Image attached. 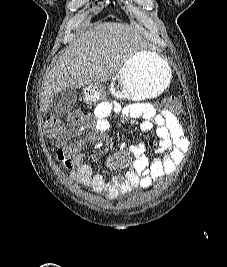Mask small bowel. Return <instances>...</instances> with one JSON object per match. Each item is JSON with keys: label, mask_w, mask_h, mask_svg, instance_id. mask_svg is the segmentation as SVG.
Returning a JSON list of instances; mask_svg holds the SVG:
<instances>
[{"label": "small bowel", "mask_w": 227, "mask_h": 267, "mask_svg": "<svg viewBox=\"0 0 227 267\" xmlns=\"http://www.w3.org/2000/svg\"><path fill=\"white\" fill-rule=\"evenodd\" d=\"M94 122L86 119L74 123L64 136L57 139V157L69 171L72 180L91 188L106 198H116L120 194L136 188H148L153 183L165 179L183 162L189 149V141L178 117L169 110H159L149 103H132L120 106L113 102L98 103L93 111ZM122 122L142 120L140 128L144 132L154 131L152 143L161 157L149 161L144 157L145 145L139 143L128 151L134 158V164L128 171L106 177L95 173L86 162L82 149L87 142L95 144L97 149L104 145L102 134L111 128V120ZM87 134L82 139L80 135Z\"/></svg>", "instance_id": "small-bowel-1"}]
</instances>
